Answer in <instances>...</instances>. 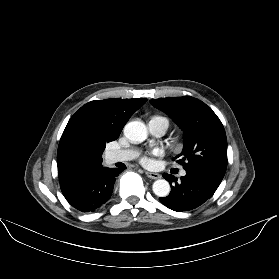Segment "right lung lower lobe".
Returning a JSON list of instances; mask_svg holds the SVG:
<instances>
[{"instance_id": "1", "label": "right lung lower lobe", "mask_w": 279, "mask_h": 279, "mask_svg": "<svg viewBox=\"0 0 279 279\" xmlns=\"http://www.w3.org/2000/svg\"><path fill=\"white\" fill-rule=\"evenodd\" d=\"M123 169L101 167L60 182L67 201L82 212L95 211L109 200L115 178Z\"/></svg>"}]
</instances>
